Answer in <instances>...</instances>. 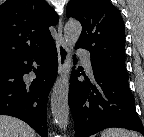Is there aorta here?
I'll list each match as a JSON object with an SVG mask.
<instances>
[{"instance_id":"762f6f07","label":"aorta","mask_w":144,"mask_h":137,"mask_svg":"<svg viewBox=\"0 0 144 137\" xmlns=\"http://www.w3.org/2000/svg\"><path fill=\"white\" fill-rule=\"evenodd\" d=\"M82 32L80 22L69 20L64 27V38L69 48H73ZM69 69H63L57 78L51 93V111L55 123L61 129H66L69 122Z\"/></svg>"}]
</instances>
